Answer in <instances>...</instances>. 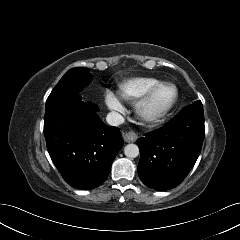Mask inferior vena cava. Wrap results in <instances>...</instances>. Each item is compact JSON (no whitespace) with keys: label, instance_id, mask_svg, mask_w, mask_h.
<instances>
[{"label":"inferior vena cava","instance_id":"obj_1","mask_svg":"<svg viewBox=\"0 0 240 240\" xmlns=\"http://www.w3.org/2000/svg\"><path fill=\"white\" fill-rule=\"evenodd\" d=\"M106 121L109 125L118 126L124 123V118L118 112L112 111L108 113Z\"/></svg>","mask_w":240,"mask_h":240}]
</instances>
